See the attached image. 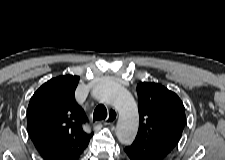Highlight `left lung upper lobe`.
Returning <instances> with one entry per match:
<instances>
[{
	"mask_svg": "<svg viewBox=\"0 0 225 160\" xmlns=\"http://www.w3.org/2000/svg\"><path fill=\"white\" fill-rule=\"evenodd\" d=\"M139 130L128 146L150 160H163L177 146L186 122L182 101L174 92L157 83L141 82Z\"/></svg>",
	"mask_w": 225,
	"mask_h": 160,
	"instance_id": "left-lung-upper-lobe-1",
	"label": "left lung upper lobe"
}]
</instances>
